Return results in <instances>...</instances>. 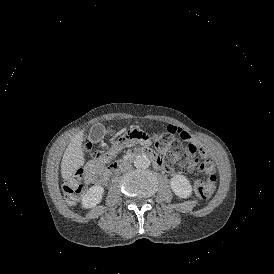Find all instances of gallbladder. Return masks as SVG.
I'll use <instances>...</instances> for the list:
<instances>
[{
	"label": "gallbladder",
	"mask_w": 274,
	"mask_h": 274,
	"mask_svg": "<svg viewBox=\"0 0 274 274\" xmlns=\"http://www.w3.org/2000/svg\"><path fill=\"white\" fill-rule=\"evenodd\" d=\"M106 133L105 126L101 123L94 124L89 132L88 140L97 143L104 138Z\"/></svg>",
	"instance_id": "1"
}]
</instances>
